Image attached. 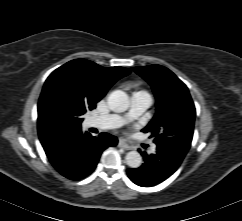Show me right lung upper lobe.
Here are the masks:
<instances>
[{
  "label": "right lung upper lobe",
  "mask_w": 242,
  "mask_h": 221,
  "mask_svg": "<svg viewBox=\"0 0 242 221\" xmlns=\"http://www.w3.org/2000/svg\"><path fill=\"white\" fill-rule=\"evenodd\" d=\"M129 73L123 67L104 68L85 59L72 60L53 71L45 81L38 103V134L42 145L69 133L56 125L57 99L78 104L85 111L92 110L109 88Z\"/></svg>",
  "instance_id": "cb5924a9"
}]
</instances>
